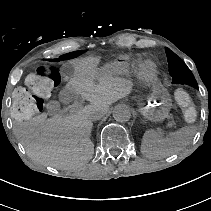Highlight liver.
<instances>
[{"label":"liver","mask_w":211,"mask_h":211,"mask_svg":"<svg viewBox=\"0 0 211 211\" xmlns=\"http://www.w3.org/2000/svg\"><path fill=\"white\" fill-rule=\"evenodd\" d=\"M97 65L80 63L67 81V87L83 93L90 102V111L102 116L108 106L127 95L122 81L109 79L93 85L87 73ZM47 119L41 113L27 121H15L14 134L27 153L38 162L58 169H74L86 164L93 156L94 142L90 139L94 123L84 108L69 117Z\"/></svg>","instance_id":"obj_1"}]
</instances>
